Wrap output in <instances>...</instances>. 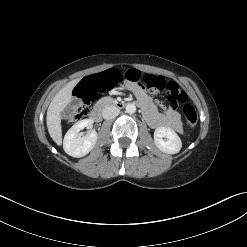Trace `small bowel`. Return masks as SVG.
<instances>
[{
	"mask_svg": "<svg viewBox=\"0 0 247 247\" xmlns=\"http://www.w3.org/2000/svg\"><path fill=\"white\" fill-rule=\"evenodd\" d=\"M127 88L137 97L144 117L152 128H169L177 133H182L181 117L175 108H169L162 113L153 104L143 85L129 83Z\"/></svg>",
	"mask_w": 247,
	"mask_h": 247,
	"instance_id": "obj_1",
	"label": "small bowel"
}]
</instances>
